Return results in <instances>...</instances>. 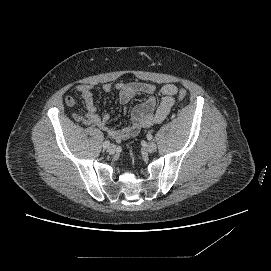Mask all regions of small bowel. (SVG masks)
<instances>
[{"instance_id":"c3829d8e","label":"small bowel","mask_w":271,"mask_h":271,"mask_svg":"<svg viewBox=\"0 0 271 271\" xmlns=\"http://www.w3.org/2000/svg\"><path fill=\"white\" fill-rule=\"evenodd\" d=\"M74 90L80 95L86 106L85 112H76L73 115L74 119L84 125L97 126L111 138L121 141L136 136L143 128L163 122L174 105V96L178 88L174 84H165L157 87L154 84L145 82L105 84L103 91L106 93L117 92L122 105H127L136 96L147 95L144 102L133 108L130 123L120 129L110 126L108 115H100L98 113L91 85L80 84ZM159 96H161V100L158 103L157 99ZM65 102L70 107L77 104L76 98L71 95L65 98Z\"/></svg>"}]
</instances>
